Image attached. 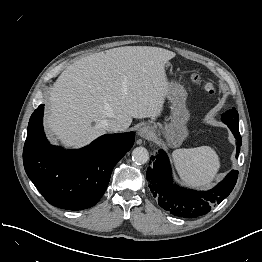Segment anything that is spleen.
Returning <instances> with one entry per match:
<instances>
[{
	"instance_id": "1",
	"label": "spleen",
	"mask_w": 262,
	"mask_h": 262,
	"mask_svg": "<svg viewBox=\"0 0 262 262\" xmlns=\"http://www.w3.org/2000/svg\"><path fill=\"white\" fill-rule=\"evenodd\" d=\"M172 159L181 180L192 187H210L220 168L219 157L209 146L177 149Z\"/></svg>"
}]
</instances>
